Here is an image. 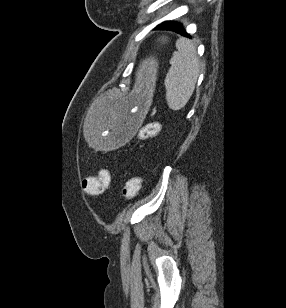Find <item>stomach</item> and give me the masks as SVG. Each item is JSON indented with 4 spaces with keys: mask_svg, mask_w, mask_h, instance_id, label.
I'll list each match as a JSON object with an SVG mask.
<instances>
[{
    "mask_svg": "<svg viewBox=\"0 0 286 308\" xmlns=\"http://www.w3.org/2000/svg\"><path fill=\"white\" fill-rule=\"evenodd\" d=\"M163 44L166 39H162ZM134 67H143L142 73L135 78L136 88H149L155 80L157 61L150 57L147 60H134ZM144 91H131L130 96H102V100H95L97 112H88L87 118L91 125H84L87 143L97 144V149H119V144H134L132 132L134 125H141L144 113L140 107H148V100H144Z\"/></svg>",
    "mask_w": 286,
    "mask_h": 308,
    "instance_id": "0dacf381",
    "label": "stomach"
}]
</instances>
